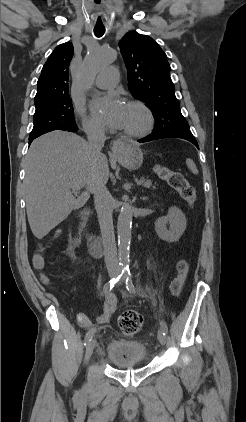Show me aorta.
Instances as JSON below:
<instances>
[{
  "label": "aorta",
  "instance_id": "762f6f07",
  "mask_svg": "<svg viewBox=\"0 0 246 422\" xmlns=\"http://www.w3.org/2000/svg\"><path fill=\"white\" fill-rule=\"evenodd\" d=\"M116 51L108 47H98L89 50L86 55L78 79L80 84L89 87L98 72L107 64L116 59ZM132 231V210L129 205H124L120 211L117 222L118 256L120 266L127 267L130 254V241Z\"/></svg>",
  "mask_w": 246,
  "mask_h": 422
}]
</instances>
